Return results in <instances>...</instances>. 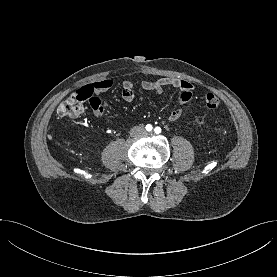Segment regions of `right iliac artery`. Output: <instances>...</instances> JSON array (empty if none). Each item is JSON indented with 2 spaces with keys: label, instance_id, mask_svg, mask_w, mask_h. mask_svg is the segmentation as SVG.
Segmentation results:
<instances>
[{
  "label": "right iliac artery",
  "instance_id": "obj_1",
  "mask_svg": "<svg viewBox=\"0 0 277 277\" xmlns=\"http://www.w3.org/2000/svg\"><path fill=\"white\" fill-rule=\"evenodd\" d=\"M152 129H153V127H152V125H150V124H148V125H146V130L147 131H152Z\"/></svg>",
  "mask_w": 277,
  "mask_h": 277
}]
</instances>
